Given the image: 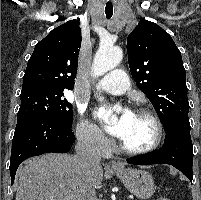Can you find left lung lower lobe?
Here are the masks:
<instances>
[{
  "mask_svg": "<svg viewBox=\"0 0 201 200\" xmlns=\"http://www.w3.org/2000/svg\"><path fill=\"white\" fill-rule=\"evenodd\" d=\"M164 145L157 151L127 159L130 164H169L179 169L191 183L193 179V145L190 123H178L167 130Z\"/></svg>",
  "mask_w": 201,
  "mask_h": 200,
  "instance_id": "0a47b994",
  "label": "left lung lower lobe"
}]
</instances>
